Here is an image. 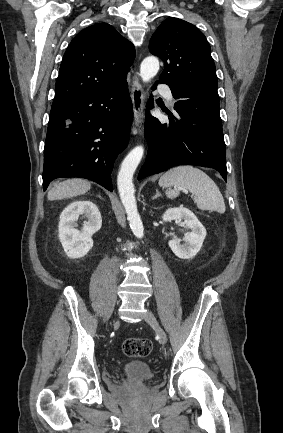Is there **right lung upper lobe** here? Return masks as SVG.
Instances as JSON below:
<instances>
[{
	"instance_id": "obj_1",
	"label": "right lung upper lobe",
	"mask_w": 283,
	"mask_h": 433,
	"mask_svg": "<svg viewBox=\"0 0 283 433\" xmlns=\"http://www.w3.org/2000/svg\"><path fill=\"white\" fill-rule=\"evenodd\" d=\"M134 58V46L113 26L97 23L83 29L64 54L53 102L121 85Z\"/></svg>"
}]
</instances>
